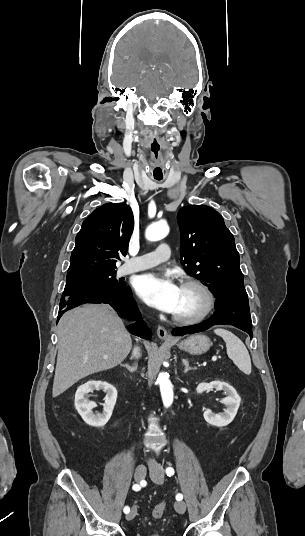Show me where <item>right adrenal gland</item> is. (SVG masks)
Returning <instances> with one entry per match:
<instances>
[{
    "label": "right adrenal gland",
    "mask_w": 305,
    "mask_h": 536,
    "mask_svg": "<svg viewBox=\"0 0 305 536\" xmlns=\"http://www.w3.org/2000/svg\"><path fill=\"white\" fill-rule=\"evenodd\" d=\"M131 360H132V358H131ZM123 366H124V368H127V370H129V372H136L138 364H136V362H135V364H133V366H129V364H123Z\"/></svg>",
    "instance_id": "obj_1"
}]
</instances>
